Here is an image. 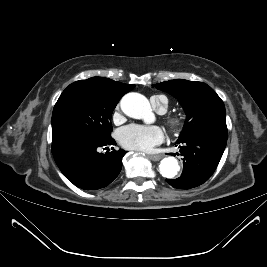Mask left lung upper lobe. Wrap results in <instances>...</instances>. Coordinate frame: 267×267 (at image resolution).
Returning a JSON list of instances; mask_svg holds the SVG:
<instances>
[{
	"instance_id": "obj_1",
	"label": "left lung upper lobe",
	"mask_w": 267,
	"mask_h": 267,
	"mask_svg": "<svg viewBox=\"0 0 267 267\" xmlns=\"http://www.w3.org/2000/svg\"><path fill=\"white\" fill-rule=\"evenodd\" d=\"M154 86L178 99L187 114L177 142L208 132L227 134L223 101L207 84L176 79Z\"/></svg>"
}]
</instances>
